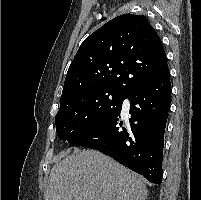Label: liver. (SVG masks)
<instances>
[{"label": "liver", "mask_w": 201, "mask_h": 200, "mask_svg": "<svg viewBox=\"0 0 201 200\" xmlns=\"http://www.w3.org/2000/svg\"><path fill=\"white\" fill-rule=\"evenodd\" d=\"M145 184L95 150L75 149L50 173L45 200H145Z\"/></svg>", "instance_id": "obj_1"}]
</instances>
